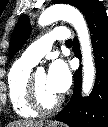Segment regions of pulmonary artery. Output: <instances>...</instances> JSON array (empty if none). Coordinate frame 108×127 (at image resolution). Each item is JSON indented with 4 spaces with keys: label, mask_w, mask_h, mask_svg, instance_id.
<instances>
[{
    "label": "pulmonary artery",
    "mask_w": 108,
    "mask_h": 127,
    "mask_svg": "<svg viewBox=\"0 0 108 127\" xmlns=\"http://www.w3.org/2000/svg\"><path fill=\"white\" fill-rule=\"evenodd\" d=\"M70 33L68 29L60 27L45 34L40 39L31 44L22 54V59L36 65L47 53L50 52L52 44L56 40H68Z\"/></svg>",
    "instance_id": "pulmonary-artery-1"
}]
</instances>
